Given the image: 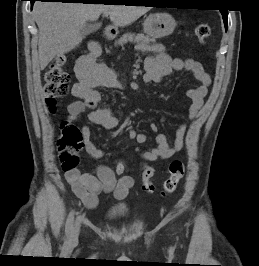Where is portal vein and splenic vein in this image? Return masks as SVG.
<instances>
[{"instance_id":"18ae733b","label":"portal vein and splenic vein","mask_w":259,"mask_h":266,"mask_svg":"<svg viewBox=\"0 0 259 266\" xmlns=\"http://www.w3.org/2000/svg\"><path fill=\"white\" fill-rule=\"evenodd\" d=\"M109 12H104V16H108Z\"/></svg>"}]
</instances>
